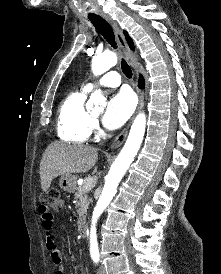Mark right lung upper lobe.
Instances as JSON below:
<instances>
[{"instance_id": "right-lung-upper-lobe-1", "label": "right lung upper lobe", "mask_w": 221, "mask_h": 274, "mask_svg": "<svg viewBox=\"0 0 221 274\" xmlns=\"http://www.w3.org/2000/svg\"><path fill=\"white\" fill-rule=\"evenodd\" d=\"M124 33H125L126 40H127L128 44H129L130 48H131L132 50H134V45H133L132 39L128 36L127 32H124Z\"/></svg>"}]
</instances>
